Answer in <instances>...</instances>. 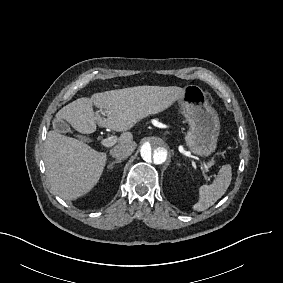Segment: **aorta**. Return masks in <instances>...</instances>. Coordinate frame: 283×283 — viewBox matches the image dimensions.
Listing matches in <instances>:
<instances>
[{
    "mask_svg": "<svg viewBox=\"0 0 283 283\" xmlns=\"http://www.w3.org/2000/svg\"><path fill=\"white\" fill-rule=\"evenodd\" d=\"M140 155L143 164L153 169L167 164L170 156L167 141L156 135L147 136L142 140Z\"/></svg>",
    "mask_w": 283,
    "mask_h": 283,
    "instance_id": "1",
    "label": "aorta"
}]
</instances>
